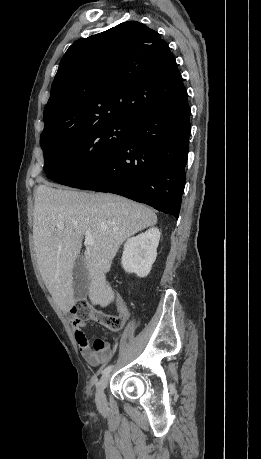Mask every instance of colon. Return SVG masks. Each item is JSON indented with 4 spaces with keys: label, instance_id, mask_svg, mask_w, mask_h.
Returning a JSON list of instances; mask_svg holds the SVG:
<instances>
[{
    "label": "colon",
    "instance_id": "5ec220e1",
    "mask_svg": "<svg viewBox=\"0 0 261 459\" xmlns=\"http://www.w3.org/2000/svg\"><path fill=\"white\" fill-rule=\"evenodd\" d=\"M70 313L73 315L79 314V316L82 318H92L101 323L110 331L120 330L125 322V318L121 314L114 315L101 310H93L88 306L86 302L83 301L80 302L78 306L71 308Z\"/></svg>",
    "mask_w": 261,
    "mask_h": 459
}]
</instances>
